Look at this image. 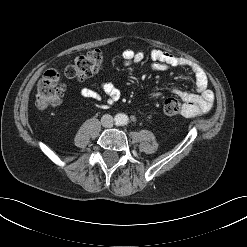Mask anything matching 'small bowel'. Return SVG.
Instances as JSON below:
<instances>
[{
    "label": "small bowel",
    "mask_w": 247,
    "mask_h": 247,
    "mask_svg": "<svg viewBox=\"0 0 247 247\" xmlns=\"http://www.w3.org/2000/svg\"><path fill=\"white\" fill-rule=\"evenodd\" d=\"M146 58V54L141 51L126 50L123 59L127 65L140 63ZM153 71H163L167 68H186L190 71L196 85V93H189L178 88H171V92L183 101L182 115L185 117H195L208 112L212 105L214 96L208 89V77L206 72L197 64L163 50L154 49L150 52ZM101 93L112 100L120 96V91L112 83L104 82L100 85V92L85 88L81 91L84 98L99 100Z\"/></svg>",
    "instance_id": "1"
}]
</instances>
